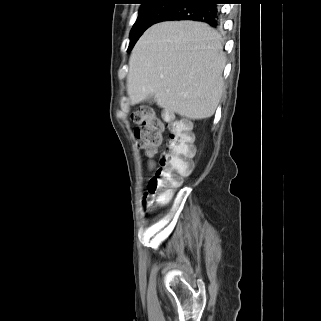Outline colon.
I'll return each instance as SVG.
<instances>
[{"instance_id": "obj_1", "label": "colon", "mask_w": 321, "mask_h": 321, "mask_svg": "<svg viewBox=\"0 0 321 321\" xmlns=\"http://www.w3.org/2000/svg\"><path fill=\"white\" fill-rule=\"evenodd\" d=\"M137 124L134 136L147 157H153L163 143L164 122L147 108L140 107L132 113ZM168 136L157 165L151 162L154 174L148 182L144 196V206L153 210L165 204L172 195V189L182 182L193 170L192 158L195 155L193 135L188 124L168 114L166 118Z\"/></svg>"}]
</instances>
